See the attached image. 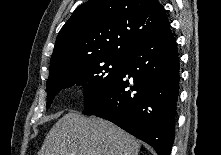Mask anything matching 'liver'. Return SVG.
I'll return each instance as SVG.
<instances>
[{"label": "liver", "instance_id": "obj_1", "mask_svg": "<svg viewBox=\"0 0 221 155\" xmlns=\"http://www.w3.org/2000/svg\"><path fill=\"white\" fill-rule=\"evenodd\" d=\"M139 150V142L111 122L69 112L51 128L38 155H138Z\"/></svg>", "mask_w": 221, "mask_h": 155}]
</instances>
